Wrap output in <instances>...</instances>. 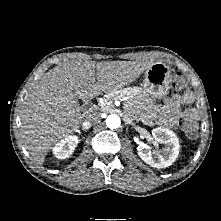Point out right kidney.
I'll use <instances>...</instances> for the list:
<instances>
[{"mask_svg": "<svg viewBox=\"0 0 221 221\" xmlns=\"http://www.w3.org/2000/svg\"><path fill=\"white\" fill-rule=\"evenodd\" d=\"M77 136H69L61 140L53 148V154L58 159H65L71 156L78 144Z\"/></svg>", "mask_w": 221, "mask_h": 221, "instance_id": "right-kidney-1", "label": "right kidney"}]
</instances>
